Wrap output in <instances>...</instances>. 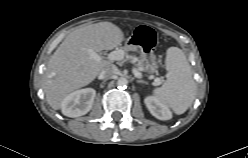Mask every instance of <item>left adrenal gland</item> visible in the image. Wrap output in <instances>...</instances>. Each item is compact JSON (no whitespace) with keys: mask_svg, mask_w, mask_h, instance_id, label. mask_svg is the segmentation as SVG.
<instances>
[{"mask_svg":"<svg viewBox=\"0 0 248 158\" xmlns=\"http://www.w3.org/2000/svg\"><path fill=\"white\" fill-rule=\"evenodd\" d=\"M137 83H147V82H145V81H143V80H137Z\"/></svg>","mask_w":248,"mask_h":158,"instance_id":"left-adrenal-gland-1","label":"left adrenal gland"}]
</instances>
